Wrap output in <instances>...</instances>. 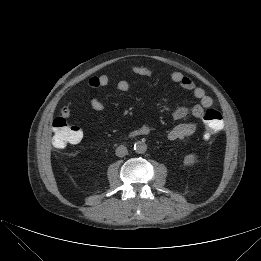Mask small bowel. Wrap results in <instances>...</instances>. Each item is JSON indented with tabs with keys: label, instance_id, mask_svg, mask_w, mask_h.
I'll list each match as a JSON object with an SVG mask.
<instances>
[{
	"label": "small bowel",
	"instance_id": "obj_1",
	"mask_svg": "<svg viewBox=\"0 0 261 261\" xmlns=\"http://www.w3.org/2000/svg\"><path fill=\"white\" fill-rule=\"evenodd\" d=\"M130 71L136 75L149 76L151 74V69L145 65H137L130 68ZM170 79L178 84L181 88L191 91L199 103L194 105L191 109L186 106H180L176 108L173 112V118L175 120H181L185 118L189 113H191L193 119L178 124L174 126L167 134L170 140H179L193 135L198 127V121L204 116L205 110L212 106V98L206 94L205 90L197 86L194 81L188 76L181 72L175 71L170 74ZM110 77L107 74H101L92 76L89 78L86 87L91 89L105 87L109 84ZM116 87L121 92H128L130 90V84L126 80H119ZM80 90H83L81 88ZM90 107L97 112H104L106 107L103 102L97 98H92L90 100ZM61 115L64 118H69L71 116V109L68 106H64L61 110ZM150 132V127L146 124L141 127L134 129L130 132V136L137 137L141 135H146Z\"/></svg>",
	"mask_w": 261,
	"mask_h": 261
}]
</instances>
